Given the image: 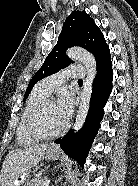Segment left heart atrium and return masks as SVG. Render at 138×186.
<instances>
[{"label":"left heart atrium","instance_id":"1","mask_svg":"<svg viewBox=\"0 0 138 186\" xmlns=\"http://www.w3.org/2000/svg\"><path fill=\"white\" fill-rule=\"evenodd\" d=\"M57 105H58V109L61 113V116L66 123L68 121V119L70 118L72 111H73L72 97L69 94H64L60 98Z\"/></svg>","mask_w":138,"mask_h":186}]
</instances>
